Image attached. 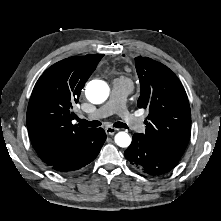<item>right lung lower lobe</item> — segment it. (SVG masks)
<instances>
[{
  "instance_id": "98d812e1",
  "label": "right lung lower lobe",
  "mask_w": 221,
  "mask_h": 221,
  "mask_svg": "<svg viewBox=\"0 0 221 221\" xmlns=\"http://www.w3.org/2000/svg\"><path fill=\"white\" fill-rule=\"evenodd\" d=\"M105 140L106 134L102 128L93 129L81 147L50 167L59 173L77 171L97 157Z\"/></svg>"
}]
</instances>
